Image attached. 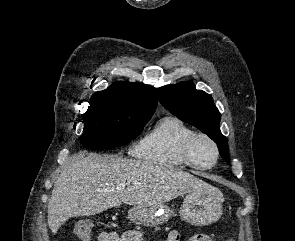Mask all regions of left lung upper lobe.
Masks as SVG:
<instances>
[{
	"mask_svg": "<svg viewBox=\"0 0 295 241\" xmlns=\"http://www.w3.org/2000/svg\"><path fill=\"white\" fill-rule=\"evenodd\" d=\"M157 92L161 104L170 113L207 134L217 143L222 158L230 160L228 139L220 132L221 115L209 94L196 90L192 82L166 85L158 88Z\"/></svg>",
	"mask_w": 295,
	"mask_h": 241,
	"instance_id": "5c2ea615",
	"label": "left lung upper lobe"
}]
</instances>
